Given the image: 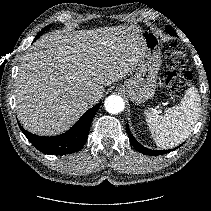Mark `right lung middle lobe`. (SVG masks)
Instances as JSON below:
<instances>
[{
    "instance_id": "dd1d6c3e",
    "label": "right lung middle lobe",
    "mask_w": 211,
    "mask_h": 211,
    "mask_svg": "<svg viewBox=\"0 0 211 211\" xmlns=\"http://www.w3.org/2000/svg\"><path fill=\"white\" fill-rule=\"evenodd\" d=\"M50 27H51V25H48V26H46L45 28H43V29L36 35L34 41H35L37 38H39V37L44 33V31L50 29Z\"/></svg>"
}]
</instances>
